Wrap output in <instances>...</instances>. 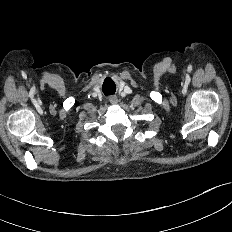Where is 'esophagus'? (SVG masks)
<instances>
[{
    "mask_svg": "<svg viewBox=\"0 0 232 232\" xmlns=\"http://www.w3.org/2000/svg\"><path fill=\"white\" fill-rule=\"evenodd\" d=\"M109 101H110V103H111L112 105H115V104L118 103V99H117V97H115V96H111V97L109 98Z\"/></svg>",
    "mask_w": 232,
    "mask_h": 232,
    "instance_id": "esophagus-1",
    "label": "esophagus"
}]
</instances>
